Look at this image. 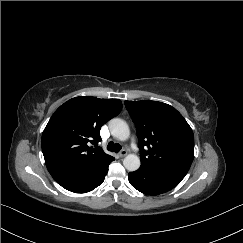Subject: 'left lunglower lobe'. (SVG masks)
<instances>
[{
	"mask_svg": "<svg viewBox=\"0 0 243 243\" xmlns=\"http://www.w3.org/2000/svg\"><path fill=\"white\" fill-rule=\"evenodd\" d=\"M190 166L187 163H171L153 168H142L128 174L129 182L144 194H162L177 186Z\"/></svg>",
	"mask_w": 243,
	"mask_h": 243,
	"instance_id": "1",
	"label": "left lung lower lobe"
}]
</instances>
